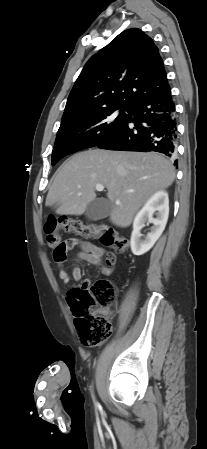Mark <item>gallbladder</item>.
<instances>
[{
	"instance_id": "obj_1",
	"label": "gallbladder",
	"mask_w": 207,
	"mask_h": 449,
	"mask_svg": "<svg viewBox=\"0 0 207 449\" xmlns=\"http://www.w3.org/2000/svg\"><path fill=\"white\" fill-rule=\"evenodd\" d=\"M112 211V204L105 198H96L86 208L85 215L89 220L97 221L106 218Z\"/></svg>"
}]
</instances>
